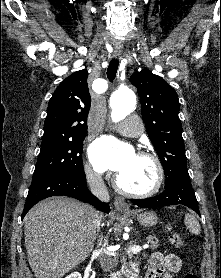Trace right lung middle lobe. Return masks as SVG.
<instances>
[{"label":"right lung middle lobe","instance_id":"1","mask_svg":"<svg viewBox=\"0 0 221 278\" xmlns=\"http://www.w3.org/2000/svg\"><path fill=\"white\" fill-rule=\"evenodd\" d=\"M85 136L42 142L31 186L56 175H84L81 153Z\"/></svg>","mask_w":221,"mask_h":278}]
</instances>
